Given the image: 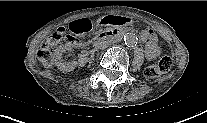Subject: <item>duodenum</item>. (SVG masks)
I'll return each mask as SVG.
<instances>
[{"label": "duodenum", "instance_id": "1", "mask_svg": "<svg viewBox=\"0 0 207 123\" xmlns=\"http://www.w3.org/2000/svg\"><path fill=\"white\" fill-rule=\"evenodd\" d=\"M120 36V32L118 30H111V31H106L98 34L93 40L92 43H98L106 40H110L113 38H116Z\"/></svg>", "mask_w": 207, "mask_h": 123}]
</instances>
